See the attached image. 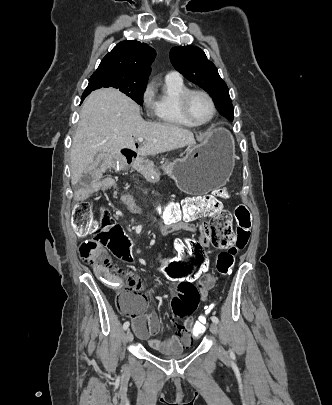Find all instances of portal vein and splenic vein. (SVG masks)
<instances>
[{"instance_id": "obj_1", "label": "portal vein and splenic vein", "mask_w": 332, "mask_h": 405, "mask_svg": "<svg viewBox=\"0 0 332 405\" xmlns=\"http://www.w3.org/2000/svg\"><path fill=\"white\" fill-rule=\"evenodd\" d=\"M139 142H143L144 141V139L142 138V137H138V139H137Z\"/></svg>"}]
</instances>
